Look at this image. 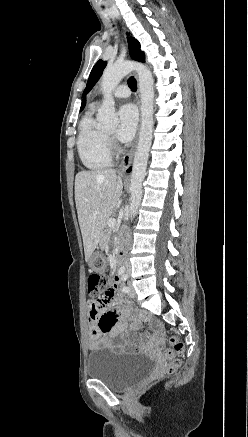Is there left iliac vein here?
Segmentation results:
<instances>
[{"label":"left iliac vein","instance_id":"4c4485c4","mask_svg":"<svg viewBox=\"0 0 248 437\" xmlns=\"http://www.w3.org/2000/svg\"><path fill=\"white\" fill-rule=\"evenodd\" d=\"M128 286H129V292H128L129 296L132 298L135 297L136 292H135V289H134L133 285L131 284V282L128 283Z\"/></svg>","mask_w":248,"mask_h":437}]
</instances>
